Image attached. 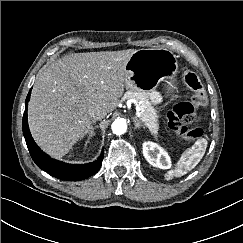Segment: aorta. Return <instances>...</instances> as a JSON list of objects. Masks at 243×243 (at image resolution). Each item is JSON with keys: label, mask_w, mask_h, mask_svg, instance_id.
Instances as JSON below:
<instances>
[{"label": "aorta", "mask_w": 243, "mask_h": 243, "mask_svg": "<svg viewBox=\"0 0 243 243\" xmlns=\"http://www.w3.org/2000/svg\"><path fill=\"white\" fill-rule=\"evenodd\" d=\"M112 131L116 135H122L127 130V124L124 119H116L111 125Z\"/></svg>", "instance_id": "obj_1"}]
</instances>
